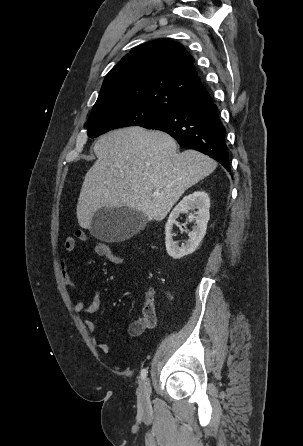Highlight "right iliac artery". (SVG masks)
Instances as JSON below:
<instances>
[{"mask_svg": "<svg viewBox=\"0 0 303 446\" xmlns=\"http://www.w3.org/2000/svg\"><path fill=\"white\" fill-rule=\"evenodd\" d=\"M147 373H148L147 369H142L141 374H140V377L142 380H144L146 378Z\"/></svg>", "mask_w": 303, "mask_h": 446, "instance_id": "obj_1", "label": "right iliac artery"}]
</instances>
